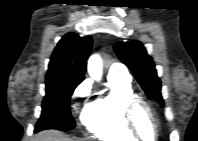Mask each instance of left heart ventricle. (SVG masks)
I'll use <instances>...</instances> for the list:
<instances>
[{"mask_svg": "<svg viewBox=\"0 0 198 141\" xmlns=\"http://www.w3.org/2000/svg\"><path fill=\"white\" fill-rule=\"evenodd\" d=\"M136 125L145 140H152L155 137V125L144 107H140L137 111Z\"/></svg>", "mask_w": 198, "mask_h": 141, "instance_id": "obj_1", "label": "left heart ventricle"}]
</instances>
